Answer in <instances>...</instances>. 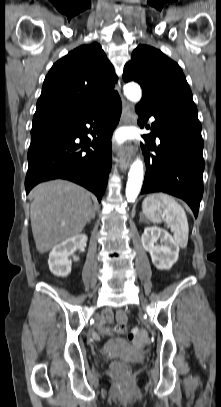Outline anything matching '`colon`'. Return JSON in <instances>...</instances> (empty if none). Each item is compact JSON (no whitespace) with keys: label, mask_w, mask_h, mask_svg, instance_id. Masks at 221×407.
<instances>
[{"label":"colon","mask_w":221,"mask_h":407,"mask_svg":"<svg viewBox=\"0 0 221 407\" xmlns=\"http://www.w3.org/2000/svg\"><path fill=\"white\" fill-rule=\"evenodd\" d=\"M117 326H115L114 331L116 333H125L127 327L130 325L127 322V311L125 309H120L118 313L114 316ZM109 333L108 328H104L100 331V334L104 336ZM130 340L137 346H143L147 340V335L143 331H135L129 335ZM111 369L114 375L120 380L125 381L130 375V367L128 364L122 361H115L111 365Z\"/></svg>","instance_id":"obj_1"}]
</instances>
